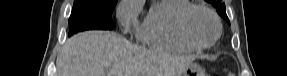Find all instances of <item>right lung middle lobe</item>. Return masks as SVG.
<instances>
[{
    "mask_svg": "<svg viewBox=\"0 0 287 76\" xmlns=\"http://www.w3.org/2000/svg\"><path fill=\"white\" fill-rule=\"evenodd\" d=\"M118 0H75L69 18V36L85 30H111V14Z\"/></svg>",
    "mask_w": 287,
    "mask_h": 76,
    "instance_id": "right-lung-middle-lobe-1",
    "label": "right lung middle lobe"
}]
</instances>
